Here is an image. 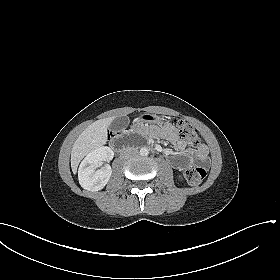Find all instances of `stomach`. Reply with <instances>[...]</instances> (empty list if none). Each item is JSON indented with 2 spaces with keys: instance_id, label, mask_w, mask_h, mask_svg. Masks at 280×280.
I'll use <instances>...</instances> for the list:
<instances>
[{
  "instance_id": "0dacf381",
  "label": "stomach",
  "mask_w": 280,
  "mask_h": 280,
  "mask_svg": "<svg viewBox=\"0 0 280 280\" xmlns=\"http://www.w3.org/2000/svg\"><path fill=\"white\" fill-rule=\"evenodd\" d=\"M143 120H148V121H151V120H154V122H158L159 124L160 123V120L161 118H159L158 116L156 115H149V114H145L141 117Z\"/></svg>"
}]
</instances>
